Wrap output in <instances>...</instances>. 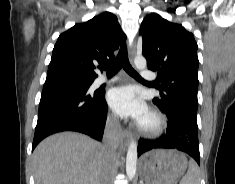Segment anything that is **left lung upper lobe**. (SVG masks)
Returning a JSON list of instances; mask_svg holds the SVG:
<instances>
[{"mask_svg":"<svg viewBox=\"0 0 235 184\" xmlns=\"http://www.w3.org/2000/svg\"><path fill=\"white\" fill-rule=\"evenodd\" d=\"M140 35L148 69L158 72L161 84L153 102L159 108L179 106L197 114L199 61L193 34L152 13L144 18Z\"/></svg>","mask_w":235,"mask_h":184,"instance_id":"5c2ea615","label":"left lung upper lobe"}]
</instances>
